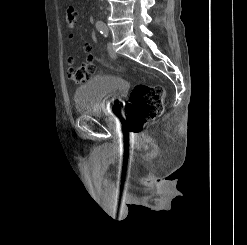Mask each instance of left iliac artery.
<instances>
[{
  "label": "left iliac artery",
  "mask_w": 247,
  "mask_h": 245,
  "mask_svg": "<svg viewBox=\"0 0 247 245\" xmlns=\"http://www.w3.org/2000/svg\"><path fill=\"white\" fill-rule=\"evenodd\" d=\"M96 28H97V30H98L102 35H104L105 37H107V35H108V28H107V26H106L105 23H103V22H98V23L96 24Z\"/></svg>",
  "instance_id": "44dca946"
}]
</instances>
